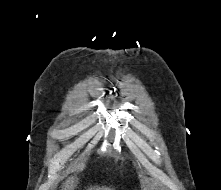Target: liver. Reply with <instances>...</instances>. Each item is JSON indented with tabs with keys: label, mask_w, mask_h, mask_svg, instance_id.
<instances>
[{
	"label": "liver",
	"mask_w": 221,
	"mask_h": 190,
	"mask_svg": "<svg viewBox=\"0 0 221 190\" xmlns=\"http://www.w3.org/2000/svg\"><path fill=\"white\" fill-rule=\"evenodd\" d=\"M74 184V180L73 178H70L68 179L66 182H65V188H67L68 190H72V186ZM66 190V189H65ZM88 190H113L109 187H98V186H95V187H90L88 188Z\"/></svg>",
	"instance_id": "liver-1"
}]
</instances>
